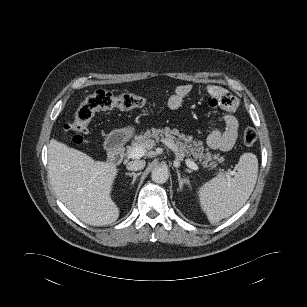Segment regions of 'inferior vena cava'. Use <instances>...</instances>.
<instances>
[{"instance_id":"inferior-vena-cava-1","label":"inferior vena cava","mask_w":307,"mask_h":307,"mask_svg":"<svg viewBox=\"0 0 307 307\" xmlns=\"http://www.w3.org/2000/svg\"><path fill=\"white\" fill-rule=\"evenodd\" d=\"M146 165V162L144 160H135V161H130L127 164V169L131 171H138L142 170Z\"/></svg>"}]
</instances>
